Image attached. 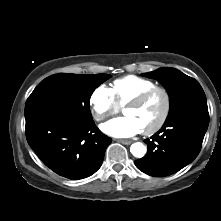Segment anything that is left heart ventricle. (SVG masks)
<instances>
[{
	"instance_id": "left-heart-ventricle-1",
	"label": "left heart ventricle",
	"mask_w": 221,
	"mask_h": 221,
	"mask_svg": "<svg viewBox=\"0 0 221 221\" xmlns=\"http://www.w3.org/2000/svg\"><path fill=\"white\" fill-rule=\"evenodd\" d=\"M165 107L162 93H155L148 101L138 107H129L124 110L126 116L133 117L142 130L154 126L160 119Z\"/></svg>"
}]
</instances>
